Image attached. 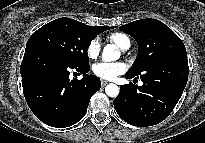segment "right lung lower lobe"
<instances>
[{
	"label": "right lung lower lobe",
	"mask_w": 205,
	"mask_h": 143,
	"mask_svg": "<svg viewBox=\"0 0 205 143\" xmlns=\"http://www.w3.org/2000/svg\"><path fill=\"white\" fill-rule=\"evenodd\" d=\"M83 74L70 80L71 70ZM90 67H76L40 47H26L20 66L22 87L28 106L43 123L65 128L81 120L92 95L101 88L100 79L88 75Z\"/></svg>",
	"instance_id": "1"
}]
</instances>
